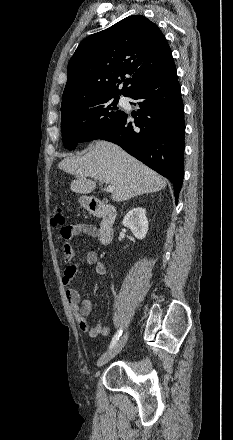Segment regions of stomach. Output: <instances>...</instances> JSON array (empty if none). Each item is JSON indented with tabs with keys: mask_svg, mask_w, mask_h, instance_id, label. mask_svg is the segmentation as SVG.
Here are the masks:
<instances>
[{
	"mask_svg": "<svg viewBox=\"0 0 233 440\" xmlns=\"http://www.w3.org/2000/svg\"><path fill=\"white\" fill-rule=\"evenodd\" d=\"M89 198L88 197H86V196H82V197H80L79 198V202H80V204L84 207V208H86V209H88L89 208Z\"/></svg>",
	"mask_w": 233,
	"mask_h": 440,
	"instance_id": "obj_1",
	"label": "stomach"
}]
</instances>
